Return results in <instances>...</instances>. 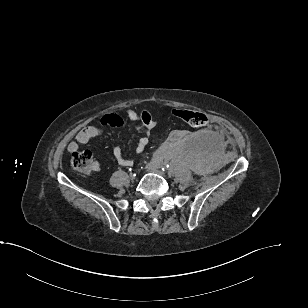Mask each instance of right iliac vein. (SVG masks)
I'll return each instance as SVG.
<instances>
[{
    "label": "right iliac vein",
    "instance_id": "63e3f726",
    "mask_svg": "<svg viewBox=\"0 0 308 308\" xmlns=\"http://www.w3.org/2000/svg\"><path fill=\"white\" fill-rule=\"evenodd\" d=\"M134 175L132 173H130V179H134Z\"/></svg>",
    "mask_w": 308,
    "mask_h": 308
}]
</instances>
